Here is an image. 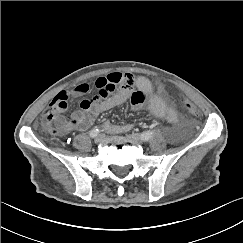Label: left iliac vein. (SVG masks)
<instances>
[{"instance_id": "4c4485c4", "label": "left iliac vein", "mask_w": 243, "mask_h": 243, "mask_svg": "<svg viewBox=\"0 0 243 243\" xmlns=\"http://www.w3.org/2000/svg\"><path fill=\"white\" fill-rule=\"evenodd\" d=\"M129 138H131L132 140H134V141H136L138 143H143L144 142V140L142 139V137L139 134H137V133L130 134L129 135Z\"/></svg>"}]
</instances>
